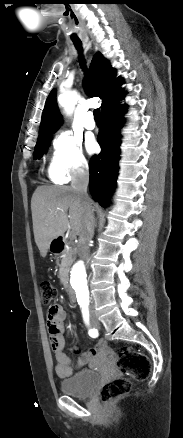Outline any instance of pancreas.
I'll use <instances>...</instances> for the list:
<instances>
[{
	"label": "pancreas",
	"mask_w": 183,
	"mask_h": 438,
	"mask_svg": "<svg viewBox=\"0 0 183 438\" xmlns=\"http://www.w3.org/2000/svg\"><path fill=\"white\" fill-rule=\"evenodd\" d=\"M74 256H75V250L74 249H69V250H64L63 252V256L61 259V265H60V273H62L66 268H68L73 260H74Z\"/></svg>",
	"instance_id": "1"
}]
</instances>
